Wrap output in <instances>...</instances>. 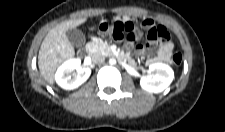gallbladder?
<instances>
[{"label":"gallbladder","mask_w":225,"mask_h":132,"mask_svg":"<svg viewBox=\"0 0 225 132\" xmlns=\"http://www.w3.org/2000/svg\"><path fill=\"white\" fill-rule=\"evenodd\" d=\"M66 36L74 47H81L85 44V36L79 29H69Z\"/></svg>","instance_id":"bac80fb5"}]
</instances>
